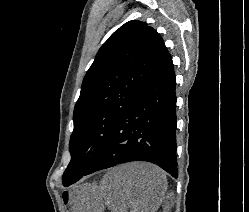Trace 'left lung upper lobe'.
I'll return each instance as SVG.
<instances>
[{
    "label": "left lung upper lobe",
    "instance_id": "1",
    "mask_svg": "<svg viewBox=\"0 0 249 212\" xmlns=\"http://www.w3.org/2000/svg\"><path fill=\"white\" fill-rule=\"evenodd\" d=\"M168 55L160 35L140 21L125 23L101 46L74 108L64 186L91 169L126 108Z\"/></svg>",
    "mask_w": 249,
    "mask_h": 212
}]
</instances>
